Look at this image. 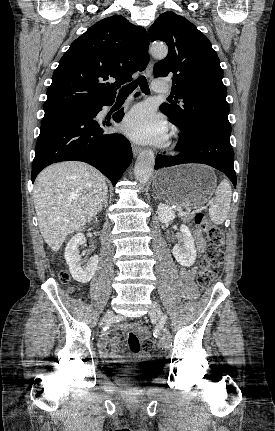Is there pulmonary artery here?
Returning <instances> with one entry per match:
<instances>
[{
	"mask_svg": "<svg viewBox=\"0 0 275 431\" xmlns=\"http://www.w3.org/2000/svg\"><path fill=\"white\" fill-rule=\"evenodd\" d=\"M152 89L157 93H166L169 90L167 84L161 80H155L152 83Z\"/></svg>",
	"mask_w": 275,
	"mask_h": 431,
	"instance_id": "1",
	"label": "pulmonary artery"
}]
</instances>
